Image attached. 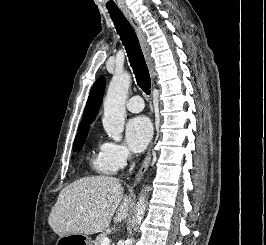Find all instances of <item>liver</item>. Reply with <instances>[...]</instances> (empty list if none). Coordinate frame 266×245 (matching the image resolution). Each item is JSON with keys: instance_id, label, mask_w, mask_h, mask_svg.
<instances>
[{"instance_id": "liver-1", "label": "liver", "mask_w": 266, "mask_h": 245, "mask_svg": "<svg viewBox=\"0 0 266 245\" xmlns=\"http://www.w3.org/2000/svg\"><path fill=\"white\" fill-rule=\"evenodd\" d=\"M129 207L119 179L84 177L62 189L48 223L58 237L95 235L108 229L114 215V223L124 221Z\"/></svg>"}]
</instances>
